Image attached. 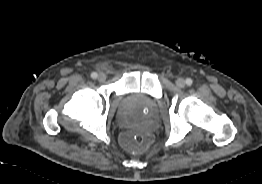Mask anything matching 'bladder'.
I'll use <instances>...</instances> for the list:
<instances>
[{"instance_id":"1","label":"bladder","mask_w":262,"mask_h":184,"mask_svg":"<svg viewBox=\"0 0 262 184\" xmlns=\"http://www.w3.org/2000/svg\"><path fill=\"white\" fill-rule=\"evenodd\" d=\"M120 121H121L122 124H124L127 127H129L131 125L128 121L123 120L121 117H120Z\"/></svg>"}]
</instances>
